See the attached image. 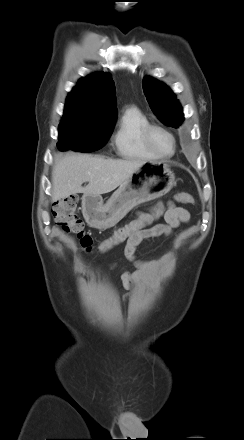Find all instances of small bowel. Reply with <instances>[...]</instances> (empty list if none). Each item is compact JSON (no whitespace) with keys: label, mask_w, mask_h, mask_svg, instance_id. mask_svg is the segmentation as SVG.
<instances>
[{"label":"small bowel","mask_w":244,"mask_h":440,"mask_svg":"<svg viewBox=\"0 0 244 440\" xmlns=\"http://www.w3.org/2000/svg\"><path fill=\"white\" fill-rule=\"evenodd\" d=\"M163 208L162 203H157L152 209ZM144 212L140 213L142 215ZM189 212L175 204L169 202L163 213V223H156L143 229L127 239V243L124 249L125 256L128 260L132 261L137 271L134 273L122 272L121 279L126 289L132 288L138 279L151 275L157 271V269L166 261L167 257H163L156 261H141L136 259L137 246L148 238H154L158 236H169L172 234L175 228H178L181 224L189 221Z\"/></svg>","instance_id":"small-bowel-1"}]
</instances>
